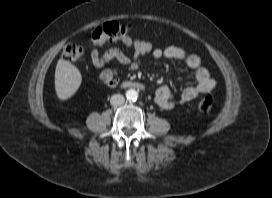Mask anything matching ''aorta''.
I'll return each mask as SVG.
<instances>
[{
    "mask_svg": "<svg viewBox=\"0 0 272 198\" xmlns=\"http://www.w3.org/2000/svg\"><path fill=\"white\" fill-rule=\"evenodd\" d=\"M126 97L129 101H136L138 98V92L134 89H130L126 92Z\"/></svg>",
    "mask_w": 272,
    "mask_h": 198,
    "instance_id": "obj_1",
    "label": "aorta"
}]
</instances>
